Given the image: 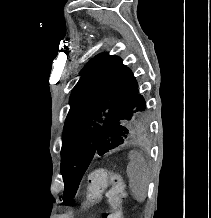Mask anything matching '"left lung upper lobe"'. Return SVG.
Segmentation results:
<instances>
[{
  "label": "left lung upper lobe",
  "instance_id": "5c2ea615",
  "mask_svg": "<svg viewBox=\"0 0 211 218\" xmlns=\"http://www.w3.org/2000/svg\"><path fill=\"white\" fill-rule=\"evenodd\" d=\"M70 96L61 150L63 200L69 202L93 157L136 138L147 121L146 102L122 60L101 53L90 60Z\"/></svg>",
  "mask_w": 211,
  "mask_h": 218
}]
</instances>
